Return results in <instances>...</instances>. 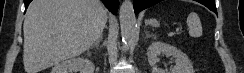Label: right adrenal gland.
I'll return each instance as SVG.
<instances>
[{"label":"right adrenal gland","mask_w":244,"mask_h":73,"mask_svg":"<svg viewBox=\"0 0 244 73\" xmlns=\"http://www.w3.org/2000/svg\"><path fill=\"white\" fill-rule=\"evenodd\" d=\"M102 39H103V35L101 34L100 37L96 40V42L91 46V49L94 48V47H99L100 42L102 41Z\"/></svg>","instance_id":"obj_1"}]
</instances>
